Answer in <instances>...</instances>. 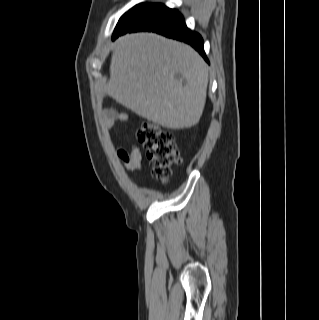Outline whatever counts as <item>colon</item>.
<instances>
[{"mask_svg":"<svg viewBox=\"0 0 319 320\" xmlns=\"http://www.w3.org/2000/svg\"><path fill=\"white\" fill-rule=\"evenodd\" d=\"M136 136L151 164L153 176L161 182L167 181L172 165L179 161L174 135L155 123L144 121L137 127Z\"/></svg>","mask_w":319,"mask_h":320,"instance_id":"5ec220e1","label":"colon"}]
</instances>
